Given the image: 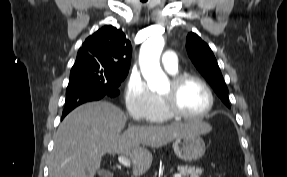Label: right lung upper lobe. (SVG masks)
I'll return each mask as SVG.
<instances>
[{
	"label": "right lung upper lobe",
	"instance_id": "right-lung-upper-lobe-1",
	"mask_svg": "<svg viewBox=\"0 0 287 177\" xmlns=\"http://www.w3.org/2000/svg\"><path fill=\"white\" fill-rule=\"evenodd\" d=\"M131 55V43L125 34L112 25H106L85 40L74 65L128 73Z\"/></svg>",
	"mask_w": 287,
	"mask_h": 177
}]
</instances>
